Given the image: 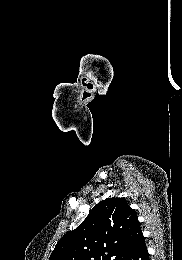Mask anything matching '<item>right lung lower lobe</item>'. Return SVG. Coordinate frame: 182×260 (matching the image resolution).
<instances>
[{"label": "right lung lower lobe", "instance_id": "right-lung-lower-lobe-1", "mask_svg": "<svg viewBox=\"0 0 182 260\" xmlns=\"http://www.w3.org/2000/svg\"><path fill=\"white\" fill-rule=\"evenodd\" d=\"M121 260H149L145 240L135 249L126 254Z\"/></svg>", "mask_w": 182, "mask_h": 260}]
</instances>
